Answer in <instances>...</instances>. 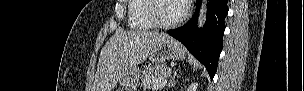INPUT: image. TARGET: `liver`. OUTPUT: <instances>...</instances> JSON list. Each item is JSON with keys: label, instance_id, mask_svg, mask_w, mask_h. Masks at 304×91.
Masks as SVG:
<instances>
[{"label": "liver", "instance_id": "6515ba94", "mask_svg": "<svg viewBox=\"0 0 304 91\" xmlns=\"http://www.w3.org/2000/svg\"><path fill=\"white\" fill-rule=\"evenodd\" d=\"M167 34L145 30L117 31L99 57L93 91H112L122 74L143 63Z\"/></svg>", "mask_w": 304, "mask_h": 91}]
</instances>
